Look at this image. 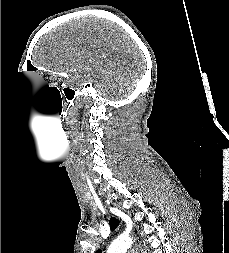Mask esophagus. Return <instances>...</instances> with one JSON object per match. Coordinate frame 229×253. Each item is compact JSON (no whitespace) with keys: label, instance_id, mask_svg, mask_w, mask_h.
Here are the masks:
<instances>
[{"label":"esophagus","instance_id":"esophagus-1","mask_svg":"<svg viewBox=\"0 0 229 253\" xmlns=\"http://www.w3.org/2000/svg\"><path fill=\"white\" fill-rule=\"evenodd\" d=\"M131 253H137L134 248L131 249Z\"/></svg>","mask_w":229,"mask_h":253}]
</instances>
